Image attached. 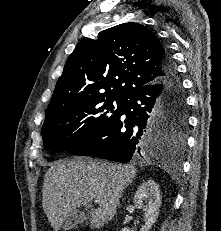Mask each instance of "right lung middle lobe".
Here are the masks:
<instances>
[{
	"label": "right lung middle lobe",
	"instance_id": "right-lung-middle-lobe-1",
	"mask_svg": "<svg viewBox=\"0 0 221 231\" xmlns=\"http://www.w3.org/2000/svg\"><path fill=\"white\" fill-rule=\"evenodd\" d=\"M125 99L94 96L75 99L45 118L42 136L51 153L69 151L103 129L120 111ZM155 130L182 146L187 127L186 104L164 100L154 114Z\"/></svg>",
	"mask_w": 221,
	"mask_h": 231
}]
</instances>
